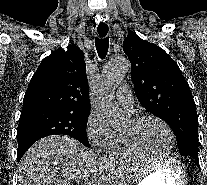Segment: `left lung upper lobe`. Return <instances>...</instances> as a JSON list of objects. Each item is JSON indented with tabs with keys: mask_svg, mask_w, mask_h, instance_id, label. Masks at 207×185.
<instances>
[{
	"mask_svg": "<svg viewBox=\"0 0 207 185\" xmlns=\"http://www.w3.org/2000/svg\"><path fill=\"white\" fill-rule=\"evenodd\" d=\"M123 51L139 102L173 130L181 155H198V117L189 85L178 65L160 47L130 32Z\"/></svg>",
	"mask_w": 207,
	"mask_h": 185,
	"instance_id": "5c2ea615",
	"label": "left lung upper lobe"
}]
</instances>
